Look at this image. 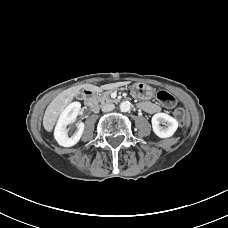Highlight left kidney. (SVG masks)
<instances>
[{"mask_svg":"<svg viewBox=\"0 0 228 228\" xmlns=\"http://www.w3.org/2000/svg\"><path fill=\"white\" fill-rule=\"evenodd\" d=\"M151 122L154 133L160 138L173 136L178 128L177 120L166 113L153 115ZM160 124H165L167 127L160 126Z\"/></svg>","mask_w":228,"mask_h":228,"instance_id":"left-kidney-1","label":"left kidney"}]
</instances>
